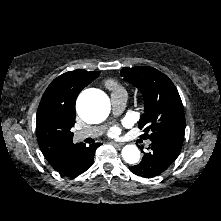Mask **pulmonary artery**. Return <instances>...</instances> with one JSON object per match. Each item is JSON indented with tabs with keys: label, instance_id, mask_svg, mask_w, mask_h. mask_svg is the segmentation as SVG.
<instances>
[{
	"label": "pulmonary artery",
	"instance_id": "1",
	"mask_svg": "<svg viewBox=\"0 0 221 221\" xmlns=\"http://www.w3.org/2000/svg\"><path fill=\"white\" fill-rule=\"evenodd\" d=\"M126 101H127V94L125 91H122V90L114 91L111 94V104H112L113 112L115 114H120L125 108ZM105 128L106 127L103 125L87 127V128L77 131L75 133V138L78 140H82L85 138H96L103 134V132L105 131ZM149 143L150 142L148 141L147 144Z\"/></svg>",
	"mask_w": 221,
	"mask_h": 221
}]
</instances>
